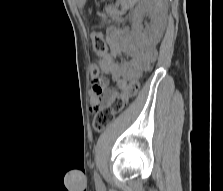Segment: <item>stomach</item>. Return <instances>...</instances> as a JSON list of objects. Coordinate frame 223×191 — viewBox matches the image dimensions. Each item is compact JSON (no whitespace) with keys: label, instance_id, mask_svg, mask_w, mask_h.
<instances>
[{"label":"stomach","instance_id":"1","mask_svg":"<svg viewBox=\"0 0 223 191\" xmlns=\"http://www.w3.org/2000/svg\"><path fill=\"white\" fill-rule=\"evenodd\" d=\"M86 0H77V2L80 4V5H84Z\"/></svg>","mask_w":223,"mask_h":191}]
</instances>
